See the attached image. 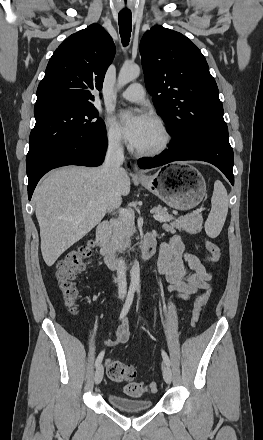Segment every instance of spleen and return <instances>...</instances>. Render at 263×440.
<instances>
[{"mask_svg": "<svg viewBox=\"0 0 263 440\" xmlns=\"http://www.w3.org/2000/svg\"><path fill=\"white\" fill-rule=\"evenodd\" d=\"M211 204L212 208L205 222V232L210 238H215L220 234L228 212L227 191L219 180L214 183Z\"/></svg>", "mask_w": 263, "mask_h": 440, "instance_id": "3e777b00", "label": "spleen"}]
</instances>
